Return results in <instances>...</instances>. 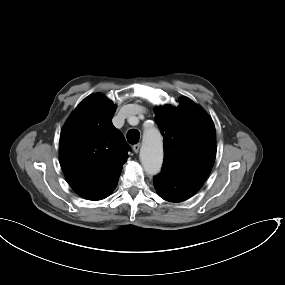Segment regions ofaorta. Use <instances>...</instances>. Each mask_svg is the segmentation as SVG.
Masks as SVG:
<instances>
[{
	"mask_svg": "<svg viewBox=\"0 0 285 285\" xmlns=\"http://www.w3.org/2000/svg\"><path fill=\"white\" fill-rule=\"evenodd\" d=\"M140 160L147 174L156 175L160 172L163 163V142L155 127H147L144 130Z\"/></svg>",
	"mask_w": 285,
	"mask_h": 285,
	"instance_id": "1",
	"label": "aorta"
}]
</instances>
